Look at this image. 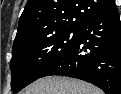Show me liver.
Wrapping results in <instances>:
<instances>
[{"instance_id":"6515ba94","label":"liver","mask_w":121,"mask_h":94,"mask_svg":"<svg viewBox=\"0 0 121 94\" xmlns=\"http://www.w3.org/2000/svg\"><path fill=\"white\" fill-rule=\"evenodd\" d=\"M21 94H103V91L74 78L49 76L32 83Z\"/></svg>"}]
</instances>
